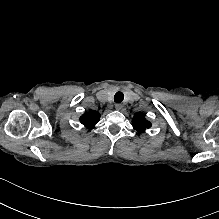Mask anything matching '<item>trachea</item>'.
I'll return each mask as SVG.
<instances>
[{"label": "trachea", "instance_id": "trachea-1", "mask_svg": "<svg viewBox=\"0 0 219 219\" xmlns=\"http://www.w3.org/2000/svg\"><path fill=\"white\" fill-rule=\"evenodd\" d=\"M124 99V94L122 92H117L114 96V101L116 103H121Z\"/></svg>", "mask_w": 219, "mask_h": 219}]
</instances>
